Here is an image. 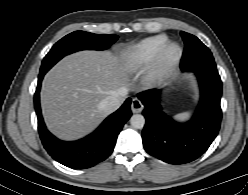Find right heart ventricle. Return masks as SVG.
<instances>
[{"mask_svg":"<svg viewBox=\"0 0 248 195\" xmlns=\"http://www.w3.org/2000/svg\"><path fill=\"white\" fill-rule=\"evenodd\" d=\"M168 41L166 34H157L128 46L122 52L124 67L130 72L148 68Z\"/></svg>","mask_w":248,"mask_h":195,"instance_id":"right-heart-ventricle-1","label":"right heart ventricle"}]
</instances>
